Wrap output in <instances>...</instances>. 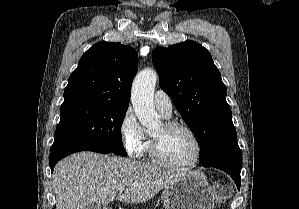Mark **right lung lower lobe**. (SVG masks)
<instances>
[{
    "instance_id": "1",
    "label": "right lung lower lobe",
    "mask_w": 299,
    "mask_h": 209,
    "mask_svg": "<svg viewBox=\"0 0 299 209\" xmlns=\"http://www.w3.org/2000/svg\"><path fill=\"white\" fill-rule=\"evenodd\" d=\"M79 151H94L103 154L113 153L111 150L96 144H87L78 141H72L67 139H55L49 156V165L51 172L54 170L55 164L63 157L79 152Z\"/></svg>"
}]
</instances>
